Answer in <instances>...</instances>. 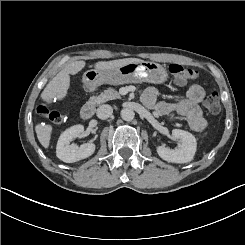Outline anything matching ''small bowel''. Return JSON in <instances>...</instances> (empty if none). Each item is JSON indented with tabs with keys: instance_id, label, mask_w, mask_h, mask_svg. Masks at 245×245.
<instances>
[{
	"instance_id": "small-bowel-1",
	"label": "small bowel",
	"mask_w": 245,
	"mask_h": 245,
	"mask_svg": "<svg viewBox=\"0 0 245 245\" xmlns=\"http://www.w3.org/2000/svg\"><path fill=\"white\" fill-rule=\"evenodd\" d=\"M185 84V82H181ZM205 91L202 86L192 84L188 86L185 97L175 103H168L159 100L157 89L150 87L145 90L142 101L151 109H154L159 115L170 119H181L187 122L188 126L194 131H202L207 125V120L199 106L203 100Z\"/></svg>"
}]
</instances>
